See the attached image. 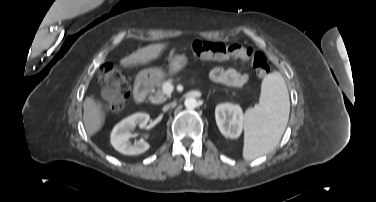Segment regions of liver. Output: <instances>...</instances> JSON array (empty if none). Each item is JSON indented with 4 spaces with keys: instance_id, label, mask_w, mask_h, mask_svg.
I'll return each instance as SVG.
<instances>
[{
    "instance_id": "1",
    "label": "liver",
    "mask_w": 376,
    "mask_h": 202,
    "mask_svg": "<svg viewBox=\"0 0 376 202\" xmlns=\"http://www.w3.org/2000/svg\"><path fill=\"white\" fill-rule=\"evenodd\" d=\"M166 44H151L120 60V65L127 68L143 65L156 59ZM83 121L88 135H94L104 124V115L99 105L91 97H86L83 102Z\"/></svg>"
}]
</instances>
